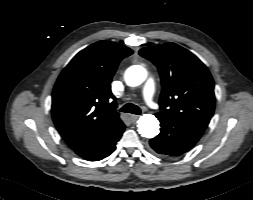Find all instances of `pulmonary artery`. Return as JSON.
<instances>
[{
    "label": "pulmonary artery",
    "mask_w": 253,
    "mask_h": 200,
    "mask_svg": "<svg viewBox=\"0 0 253 200\" xmlns=\"http://www.w3.org/2000/svg\"><path fill=\"white\" fill-rule=\"evenodd\" d=\"M154 92H155V83L152 79H149L143 87L142 94L144 101L151 108L155 107V103L153 101Z\"/></svg>",
    "instance_id": "obj_1"
}]
</instances>
